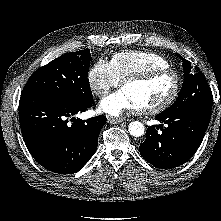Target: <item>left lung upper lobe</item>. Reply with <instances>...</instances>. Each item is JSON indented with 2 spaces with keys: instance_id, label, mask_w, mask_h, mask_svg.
<instances>
[{
  "instance_id": "5c2ea615",
  "label": "left lung upper lobe",
  "mask_w": 221,
  "mask_h": 221,
  "mask_svg": "<svg viewBox=\"0 0 221 221\" xmlns=\"http://www.w3.org/2000/svg\"><path fill=\"white\" fill-rule=\"evenodd\" d=\"M179 56V55H178ZM184 82L177 100L163 112H179L196 107L212 108L213 95L205 76L183 59Z\"/></svg>"
}]
</instances>
